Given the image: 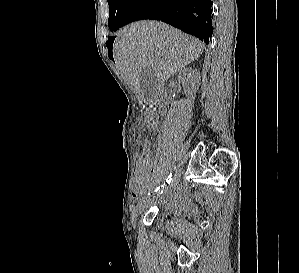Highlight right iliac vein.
<instances>
[{
	"label": "right iliac vein",
	"mask_w": 299,
	"mask_h": 273,
	"mask_svg": "<svg viewBox=\"0 0 299 273\" xmlns=\"http://www.w3.org/2000/svg\"><path fill=\"white\" fill-rule=\"evenodd\" d=\"M180 170H177L174 174V177L172 179V182L170 184V189H175L178 185L179 179H180ZM149 200L147 198L141 200L137 206L134 208L132 213V222L135 224L137 221L138 216L143 212V210L146 208Z\"/></svg>",
	"instance_id": "1"
}]
</instances>
